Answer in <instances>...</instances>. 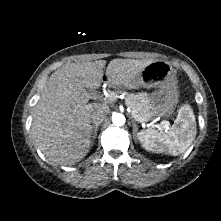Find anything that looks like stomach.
Returning <instances> with one entry per match:
<instances>
[{"mask_svg":"<svg viewBox=\"0 0 221 221\" xmlns=\"http://www.w3.org/2000/svg\"><path fill=\"white\" fill-rule=\"evenodd\" d=\"M135 86L154 88L148 95L152 118L170 116L179 101L176 70L163 60L148 64L135 80Z\"/></svg>","mask_w":221,"mask_h":221,"instance_id":"1","label":"stomach"}]
</instances>
